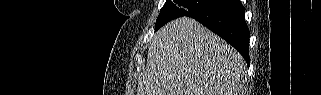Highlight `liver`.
<instances>
[{
	"label": "liver",
	"mask_w": 321,
	"mask_h": 95,
	"mask_svg": "<svg viewBox=\"0 0 321 95\" xmlns=\"http://www.w3.org/2000/svg\"><path fill=\"white\" fill-rule=\"evenodd\" d=\"M246 73L242 56L189 17L154 36L137 95H238Z\"/></svg>",
	"instance_id": "1"
}]
</instances>
